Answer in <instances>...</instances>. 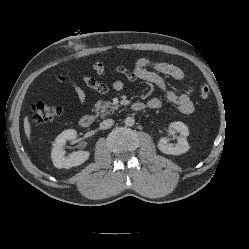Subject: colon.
Returning <instances> with one entry per match:
<instances>
[{
    "mask_svg": "<svg viewBox=\"0 0 249 249\" xmlns=\"http://www.w3.org/2000/svg\"><path fill=\"white\" fill-rule=\"evenodd\" d=\"M59 79L62 78V75L58 76ZM200 95L202 98H208L210 95V88L208 85L203 84L200 88ZM61 114V109L49 105L43 102H38L32 107V115H31V125L36 127L45 122H51L58 119Z\"/></svg>",
    "mask_w": 249,
    "mask_h": 249,
    "instance_id": "1",
    "label": "colon"
}]
</instances>
